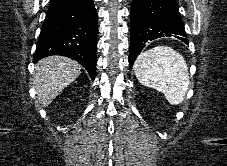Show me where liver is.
<instances>
[{
	"mask_svg": "<svg viewBox=\"0 0 227 166\" xmlns=\"http://www.w3.org/2000/svg\"><path fill=\"white\" fill-rule=\"evenodd\" d=\"M82 66L64 56H50L40 60L35 67L33 85L37 100L46 107L81 73Z\"/></svg>",
	"mask_w": 227,
	"mask_h": 166,
	"instance_id": "liver-1",
	"label": "liver"
}]
</instances>
